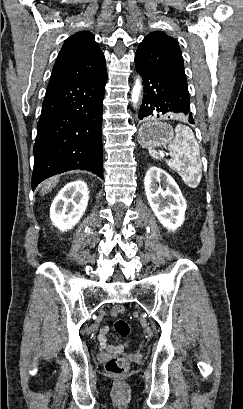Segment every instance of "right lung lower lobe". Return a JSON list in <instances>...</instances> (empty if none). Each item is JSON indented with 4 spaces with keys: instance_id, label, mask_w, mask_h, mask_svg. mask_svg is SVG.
Wrapping results in <instances>:
<instances>
[{
    "instance_id": "obj_1",
    "label": "right lung lower lobe",
    "mask_w": 243,
    "mask_h": 409,
    "mask_svg": "<svg viewBox=\"0 0 243 409\" xmlns=\"http://www.w3.org/2000/svg\"><path fill=\"white\" fill-rule=\"evenodd\" d=\"M106 66L82 79H51L37 124L32 189L52 175L85 169L103 178Z\"/></svg>"
}]
</instances>
